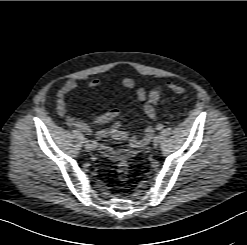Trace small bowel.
Returning <instances> with one entry per match:
<instances>
[{"label": "small bowel", "instance_id": "c3829d8e", "mask_svg": "<svg viewBox=\"0 0 247 245\" xmlns=\"http://www.w3.org/2000/svg\"><path fill=\"white\" fill-rule=\"evenodd\" d=\"M100 84V79L93 78L85 84V88L94 89L99 87ZM121 84L126 90H135L137 99L144 103L143 110L145 115L151 120L155 119L156 110L147 100L146 90L143 87H136V83L131 77L122 78ZM78 86L79 83L75 79H69L62 85L56 96L57 113L69 127L75 128L85 134H92L97 138L110 137L119 141H128L127 147L119 150H114L109 146L102 145L100 151L104 156L112 160H120L121 158L130 159L138 154L150 142L154 132L151 125L146 126L144 133L140 138L135 133L121 130L124 118L122 117L121 110L117 107H112L104 113L95 116L90 122L70 114L67 108L66 98L71 92L76 90ZM110 121H114L110 128L98 130L96 132L92 130L91 125H102Z\"/></svg>", "mask_w": 247, "mask_h": 245}]
</instances>
